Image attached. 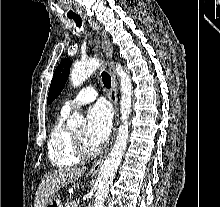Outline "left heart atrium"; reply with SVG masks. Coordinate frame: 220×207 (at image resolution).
Wrapping results in <instances>:
<instances>
[{"label": "left heart atrium", "mask_w": 220, "mask_h": 207, "mask_svg": "<svg viewBox=\"0 0 220 207\" xmlns=\"http://www.w3.org/2000/svg\"><path fill=\"white\" fill-rule=\"evenodd\" d=\"M113 114L108 103L99 101L87 114L86 140L94 147L100 146L108 138L112 127Z\"/></svg>", "instance_id": "left-heart-atrium-1"}]
</instances>
